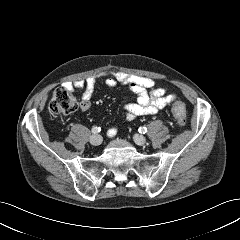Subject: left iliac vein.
Here are the masks:
<instances>
[{
	"label": "left iliac vein",
	"mask_w": 240,
	"mask_h": 240,
	"mask_svg": "<svg viewBox=\"0 0 240 240\" xmlns=\"http://www.w3.org/2000/svg\"><path fill=\"white\" fill-rule=\"evenodd\" d=\"M133 139H134V142L137 145H140V146H142L146 143V138L143 135H140V134H135L133 136Z\"/></svg>",
	"instance_id": "4c4485c4"
}]
</instances>
